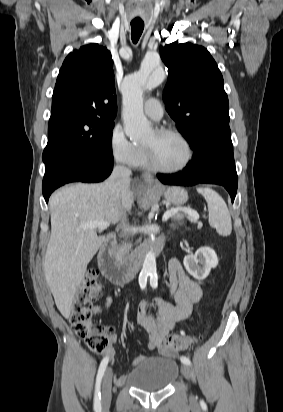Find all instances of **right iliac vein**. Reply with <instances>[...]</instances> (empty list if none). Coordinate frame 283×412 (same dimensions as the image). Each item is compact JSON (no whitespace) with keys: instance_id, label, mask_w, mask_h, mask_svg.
<instances>
[{"instance_id":"obj_1","label":"right iliac vein","mask_w":283,"mask_h":412,"mask_svg":"<svg viewBox=\"0 0 283 412\" xmlns=\"http://www.w3.org/2000/svg\"><path fill=\"white\" fill-rule=\"evenodd\" d=\"M112 376H113L112 369L108 368L105 372L103 383H102V408L103 410L108 409L111 403Z\"/></svg>"}]
</instances>
